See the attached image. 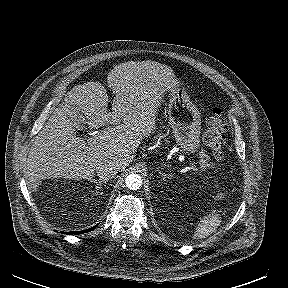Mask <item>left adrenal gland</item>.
<instances>
[{
	"instance_id": "left-adrenal-gland-1",
	"label": "left adrenal gland",
	"mask_w": 288,
	"mask_h": 288,
	"mask_svg": "<svg viewBox=\"0 0 288 288\" xmlns=\"http://www.w3.org/2000/svg\"><path fill=\"white\" fill-rule=\"evenodd\" d=\"M157 171L163 177V179L166 177L170 178L172 176L170 173H164L160 168H157Z\"/></svg>"
}]
</instances>
